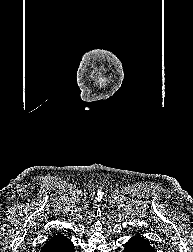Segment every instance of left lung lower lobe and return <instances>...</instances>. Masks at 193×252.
<instances>
[{"instance_id":"1","label":"left lung lower lobe","mask_w":193,"mask_h":252,"mask_svg":"<svg viewBox=\"0 0 193 252\" xmlns=\"http://www.w3.org/2000/svg\"><path fill=\"white\" fill-rule=\"evenodd\" d=\"M123 252H156L148 241L141 236L132 237L127 243Z\"/></svg>"}]
</instances>
